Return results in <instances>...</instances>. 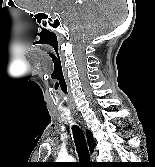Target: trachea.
<instances>
[{"instance_id":"1","label":"trachea","mask_w":155,"mask_h":167,"mask_svg":"<svg viewBox=\"0 0 155 167\" xmlns=\"http://www.w3.org/2000/svg\"><path fill=\"white\" fill-rule=\"evenodd\" d=\"M73 137L80 162H90V154L85 136L78 126H73Z\"/></svg>"}]
</instances>
